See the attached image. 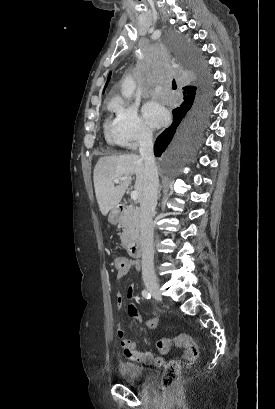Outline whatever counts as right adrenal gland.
<instances>
[{
    "label": "right adrenal gland",
    "mask_w": 275,
    "mask_h": 409,
    "mask_svg": "<svg viewBox=\"0 0 275 409\" xmlns=\"http://www.w3.org/2000/svg\"><path fill=\"white\" fill-rule=\"evenodd\" d=\"M160 190H161V184H160V188H159V190H158V198H160V196H161Z\"/></svg>",
    "instance_id": "2a0ac1e0"
}]
</instances>
